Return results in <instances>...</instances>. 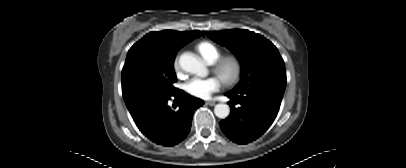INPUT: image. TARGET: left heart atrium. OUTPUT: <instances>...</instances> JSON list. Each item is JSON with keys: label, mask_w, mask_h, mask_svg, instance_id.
<instances>
[{"label": "left heart atrium", "mask_w": 406, "mask_h": 168, "mask_svg": "<svg viewBox=\"0 0 406 168\" xmlns=\"http://www.w3.org/2000/svg\"><path fill=\"white\" fill-rule=\"evenodd\" d=\"M222 86V80L217 76L200 78L194 77L186 84V90L189 94L206 99L212 93L217 92Z\"/></svg>", "instance_id": "left-heart-atrium-1"}]
</instances>
